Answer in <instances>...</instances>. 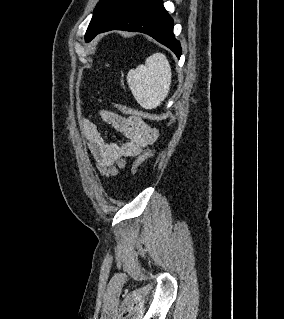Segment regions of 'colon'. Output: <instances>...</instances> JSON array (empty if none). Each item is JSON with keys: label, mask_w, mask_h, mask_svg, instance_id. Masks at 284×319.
<instances>
[{"label": "colon", "mask_w": 284, "mask_h": 319, "mask_svg": "<svg viewBox=\"0 0 284 319\" xmlns=\"http://www.w3.org/2000/svg\"><path fill=\"white\" fill-rule=\"evenodd\" d=\"M114 107L121 112L122 114L135 116L138 118H142L144 120H151V121H168V124H172L174 122V115L171 112H162V113H150L145 111H140L134 109L130 106L121 103H114ZM154 155V151L148 149L144 151L141 155H139L136 160L133 162L132 165V173L136 174L140 168V166L149 158Z\"/></svg>", "instance_id": "1"}]
</instances>
